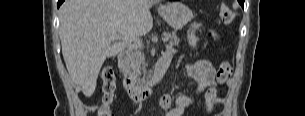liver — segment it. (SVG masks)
<instances>
[{"instance_id":"1","label":"liver","mask_w":305,"mask_h":116,"mask_svg":"<svg viewBox=\"0 0 305 116\" xmlns=\"http://www.w3.org/2000/svg\"><path fill=\"white\" fill-rule=\"evenodd\" d=\"M154 0H66L59 10L63 58L72 81L92 96L108 57L153 26ZM110 35H119L122 41Z\"/></svg>"}]
</instances>
